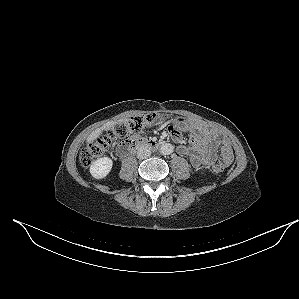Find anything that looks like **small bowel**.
Listing matches in <instances>:
<instances>
[{"mask_svg": "<svg viewBox=\"0 0 299 299\" xmlns=\"http://www.w3.org/2000/svg\"><path fill=\"white\" fill-rule=\"evenodd\" d=\"M192 131H196L202 136V143L199 146H191L190 144H180L178 152L189 158L190 163L195 168L209 167L218 160L217 150L224 166L229 165L233 161V151L229 142L216 130H208L196 123H190ZM175 141L181 140L178 132H170Z\"/></svg>", "mask_w": 299, "mask_h": 299, "instance_id": "c3829d8e", "label": "small bowel"}]
</instances>
